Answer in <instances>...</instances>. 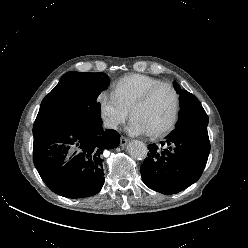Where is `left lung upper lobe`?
Returning a JSON list of instances; mask_svg holds the SVG:
<instances>
[{"label": "left lung upper lobe", "mask_w": 248, "mask_h": 248, "mask_svg": "<svg viewBox=\"0 0 248 248\" xmlns=\"http://www.w3.org/2000/svg\"><path fill=\"white\" fill-rule=\"evenodd\" d=\"M175 90L180 94L181 109L176 127L195 124H208V116L199 100L174 82Z\"/></svg>", "instance_id": "1"}]
</instances>
